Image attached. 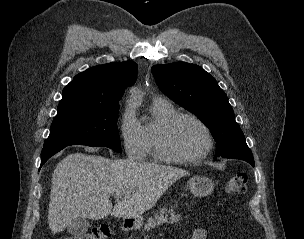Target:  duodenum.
<instances>
[{
    "label": "duodenum",
    "mask_w": 304,
    "mask_h": 239,
    "mask_svg": "<svg viewBox=\"0 0 304 239\" xmlns=\"http://www.w3.org/2000/svg\"><path fill=\"white\" fill-rule=\"evenodd\" d=\"M134 224H135V221H134V220H132V219L126 220V221L124 222V228H125V230H130V229H132L133 226H134Z\"/></svg>",
    "instance_id": "obj_1"
}]
</instances>
